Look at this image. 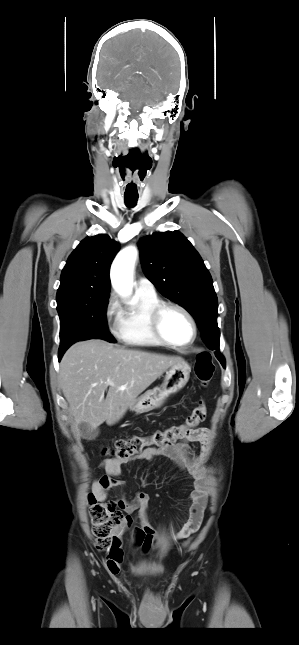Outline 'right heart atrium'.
Masks as SVG:
<instances>
[{"label":"right heart atrium","instance_id":"right-heart-atrium-1","mask_svg":"<svg viewBox=\"0 0 299 645\" xmlns=\"http://www.w3.org/2000/svg\"><path fill=\"white\" fill-rule=\"evenodd\" d=\"M119 313L120 307L117 298L113 294H111L105 304L104 316L107 321L113 322L114 331H116L117 328Z\"/></svg>","mask_w":299,"mask_h":645}]
</instances>
